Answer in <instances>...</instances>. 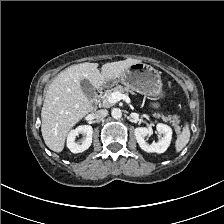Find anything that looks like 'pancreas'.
Segmentation results:
<instances>
[{
	"label": "pancreas",
	"instance_id": "cf45deb5",
	"mask_svg": "<svg viewBox=\"0 0 224 224\" xmlns=\"http://www.w3.org/2000/svg\"><path fill=\"white\" fill-rule=\"evenodd\" d=\"M113 92H120V93H125V94H132L135 95L134 91L128 87H123L121 85H116L115 87L106 90L102 95H100L101 101H102V106L105 108H109L112 106V103H110L108 101V97L110 96L111 93ZM155 117H161L163 121L167 122L169 121L170 123H172V125L174 126V128L176 129V131L179 130V126H178V118L177 116H164L162 114H156L154 113Z\"/></svg>",
	"mask_w": 224,
	"mask_h": 224
}]
</instances>
